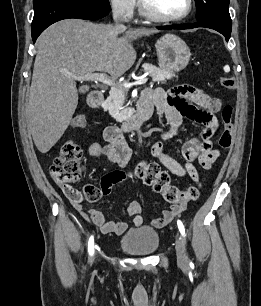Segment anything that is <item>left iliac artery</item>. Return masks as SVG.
Instances as JSON below:
<instances>
[{
	"label": "left iliac artery",
	"mask_w": 261,
	"mask_h": 306,
	"mask_svg": "<svg viewBox=\"0 0 261 306\" xmlns=\"http://www.w3.org/2000/svg\"><path fill=\"white\" fill-rule=\"evenodd\" d=\"M177 225H178V229H179L181 235L183 236V238H185L186 235H185V228H184L183 223L180 220H178Z\"/></svg>",
	"instance_id": "left-iliac-artery-1"
}]
</instances>
